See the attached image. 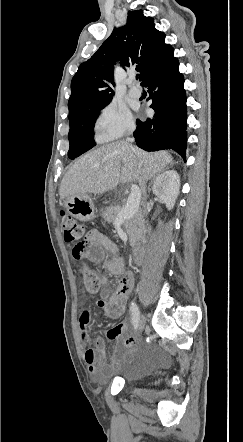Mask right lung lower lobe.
Wrapping results in <instances>:
<instances>
[{"label":"right lung lower lobe","mask_w":243,"mask_h":442,"mask_svg":"<svg viewBox=\"0 0 243 442\" xmlns=\"http://www.w3.org/2000/svg\"><path fill=\"white\" fill-rule=\"evenodd\" d=\"M142 85L149 89V99H152L150 107L156 113L145 122L137 120L134 132L137 146L146 151L173 149L185 160L186 95L174 49L145 78Z\"/></svg>","instance_id":"1"}]
</instances>
